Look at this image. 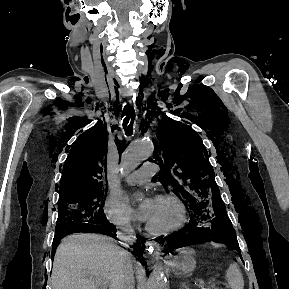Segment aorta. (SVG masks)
<instances>
[{"mask_svg": "<svg viewBox=\"0 0 289 289\" xmlns=\"http://www.w3.org/2000/svg\"><path fill=\"white\" fill-rule=\"evenodd\" d=\"M153 154V143L148 138L133 141L122 155L121 168L128 172L135 169ZM150 289H167V280L162 269L154 272Z\"/></svg>", "mask_w": 289, "mask_h": 289, "instance_id": "obj_1", "label": "aorta"}]
</instances>
